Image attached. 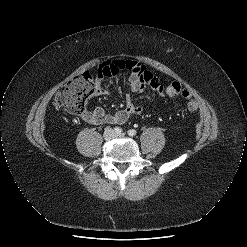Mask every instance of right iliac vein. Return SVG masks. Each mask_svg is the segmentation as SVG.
Here are the masks:
<instances>
[{
	"mask_svg": "<svg viewBox=\"0 0 247 247\" xmlns=\"http://www.w3.org/2000/svg\"><path fill=\"white\" fill-rule=\"evenodd\" d=\"M114 137V132L111 129H108L104 132L105 140H111Z\"/></svg>",
	"mask_w": 247,
	"mask_h": 247,
	"instance_id": "right-iliac-vein-1",
	"label": "right iliac vein"
}]
</instances>
